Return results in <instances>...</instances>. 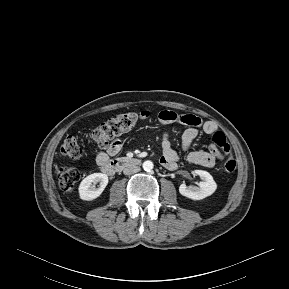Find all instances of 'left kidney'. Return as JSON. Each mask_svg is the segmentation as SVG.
Instances as JSON below:
<instances>
[{
  "instance_id": "5707ae66",
  "label": "left kidney",
  "mask_w": 289,
  "mask_h": 289,
  "mask_svg": "<svg viewBox=\"0 0 289 289\" xmlns=\"http://www.w3.org/2000/svg\"><path fill=\"white\" fill-rule=\"evenodd\" d=\"M194 173L202 179L199 186H187L183 183L179 187L180 194L193 200H201L213 194L217 189V184L213 177L203 170H195Z\"/></svg>"
}]
</instances>
